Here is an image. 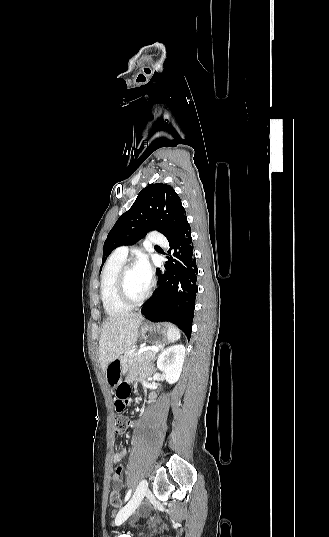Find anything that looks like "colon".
<instances>
[{"label":"colon","mask_w":329,"mask_h":537,"mask_svg":"<svg viewBox=\"0 0 329 537\" xmlns=\"http://www.w3.org/2000/svg\"><path fill=\"white\" fill-rule=\"evenodd\" d=\"M129 405V404H128ZM130 425V420L124 415H118L114 422V429L116 434L124 433ZM110 504L112 507L118 508L121 503V494L114 490L110 494L109 498Z\"/></svg>","instance_id":"5ec220e1"}]
</instances>
